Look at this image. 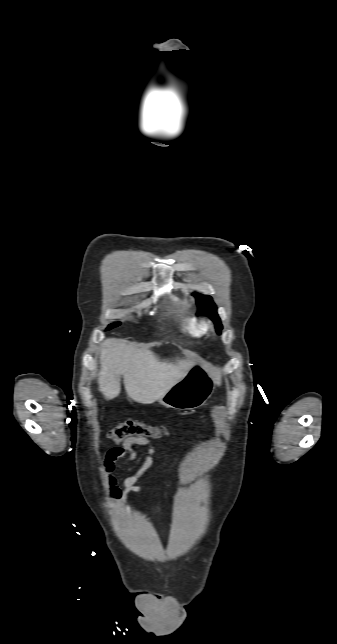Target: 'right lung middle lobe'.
<instances>
[{"mask_svg":"<svg viewBox=\"0 0 337 644\" xmlns=\"http://www.w3.org/2000/svg\"><path fill=\"white\" fill-rule=\"evenodd\" d=\"M119 325H120V322L112 323V324H110V325L108 326L107 330H110V329H112V328H114V327H117V326H119Z\"/></svg>","mask_w":337,"mask_h":644,"instance_id":"dd1d6c3e","label":"right lung middle lobe"}]
</instances>
